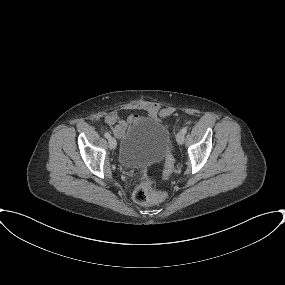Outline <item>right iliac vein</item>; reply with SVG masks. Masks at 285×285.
Wrapping results in <instances>:
<instances>
[{"label":"right iliac vein","mask_w":285,"mask_h":285,"mask_svg":"<svg viewBox=\"0 0 285 285\" xmlns=\"http://www.w3.org/2000/svg\"><path fill=\"white\" fill-rule=\"evenodd\" d=\"M108 143H109L110 149H115L116 148L117 142H116L115 138L110 137L109 140H108Z\"/></svg>","instance_id":"63e3f726"}]
</instances>
